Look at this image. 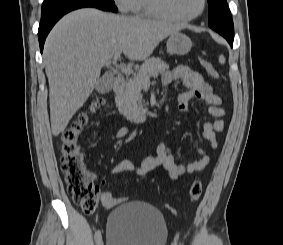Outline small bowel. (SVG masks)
I'll list each match as a JSON object with an SVG mask.
<instances>
[{
  "label": "small bowel",
  "instance_id": "c3829d8e",
  "mask_svg": "<svg viewBox=\"0 0 283 245\" xmlns=\"http://www.w3.org/2000/svg\"><path fill=\"white\" fill-rule=\"evenodd\" d=\"M175 81H181L186 88L177 98L178 109L181 112H187L188 105L192 100H199L207 105L209 115L215 120L204 123L202 134L212 149L217 148L216 134L224 128L222 117L225 115V110L221 106V98L198 72L189 67L178 66L163 73L162 82L165 86ZM127 133V128H117L113 133V138L120 139ZM197 155L198 158L190 163H176L172 148L165 142H161L156 153L145 158L140 165L124 160L116 164L111 173L120 174L124 171H131L138 175H147L155 173L162 166L171 179H177L182 175L202 171L209 164L210 156L205 149H199Z\"/></svg>",
  "mask_w": 283,
  "mask_h": 245
}]
</instances>
